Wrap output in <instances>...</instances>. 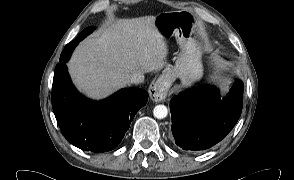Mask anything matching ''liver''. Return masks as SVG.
Wrapping results in <instances>:
<instances>
[{
    "instance_id": "6515ba94",
    "label": "liver",
    "mask_w": 294,
    "mask_h": 180,
    "mask_svg": "<svg viewBox=\"0 0 294 180\" xmlns=\"http://www.w3.org/2000/svg\"><path fill=\"white\" fill-rule=\"evenodd\" d=\"M155 16L117 19L83 40L68 63L77 88L94 99L125 87L133 73L162 69L168 54Z\"/></svg>"
}]
</instances>
